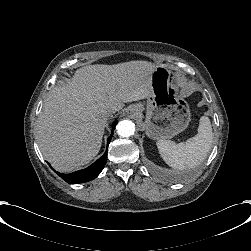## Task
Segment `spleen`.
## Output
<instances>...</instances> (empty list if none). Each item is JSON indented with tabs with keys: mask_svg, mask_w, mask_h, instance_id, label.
Here are the masks:
<instances>
[{
	"mask_svg": "<svg viewBox=\"0 0 251 251\" xmlns=\"http://www.w3.org/2000/svg\"><path fill=\"white\" fill-rule=\"evenodd\" d=\"M213 142L212 125L209 117L199 120L198 133L176 144L173 141L158 140L157 147L163 160L174 169H194L204 161Z\"/></svg>",
	"mask_w": 251,
	"mask_h": 251,
	"instance_id": "spleen-1",
	"label": "spleen"
}]
</instances>
